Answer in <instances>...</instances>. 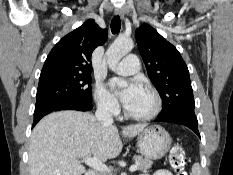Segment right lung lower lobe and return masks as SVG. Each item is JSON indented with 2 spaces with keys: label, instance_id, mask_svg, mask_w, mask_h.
Returning a JSON list of instances; mask_svg holds the SVG:
<instances>
[{
  "label": "right lung lower lobe",
  "instance_id": "98d812e1",
  "mask_svg": "<svg viewBox=\"0 0 233 175\" xmlns=\"http://www.w3.org/2000/svg\"><path fill=\"white\" fill-rule=\"evenodd\" d=\"M92 108H93L92 103L58 102V103L46 104L39 108H35L34 121L32 127H34L43 116L54 111H60V110L89 111Z\"/></svg>",
  "mask_w": 233,
  "mask_h": 175
}]
</instances>
